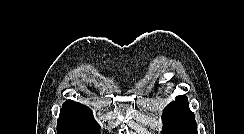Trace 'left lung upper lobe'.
Wrapping results in <instances>:
<instances>
[{"label": "left lung upper lobe", "mask_w": 244, "mask_h": 134, "mask_svg": "<svg viewBox=\"0 0 244 134\" xmlns=\"http://www.w3.org/2000/svg\"><path fill=\"white\" fill-rule=\"evenodd\" d=\"M163 134H198L194 113L186 96H178L163 111Z\"/></svg>", "instance_id": "5c2ea615"}]
</instances>
